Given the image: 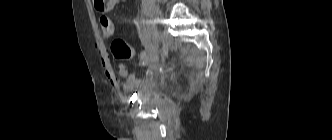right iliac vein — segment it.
I'll use <instances>...</instances> for the list:
<instances>
[{"label":"right iliac vein","instance_id":"right-iliac-vein-1","mask_svg":"<svg viewBox=\"0 0 332 140\" xmlns=\"http://www.w3.org/2000/svg\"><path fill=\"white\" fill-rule=\"evenodd\" d=\"M156 33V26L155 23H152L151 28H150V36L153 37Z\"/></svg>","mask_w":332,"mask_h":140}]
</instances>
